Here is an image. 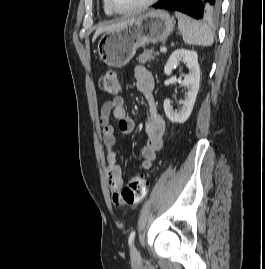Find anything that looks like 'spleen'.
<instances>
[{"label":"spleen","mask_w":265,"mask_h":269,"mask_svg":"<svg viewBox=\"0 0 265 269\" xmlns=\"http://www.w3.org/2000/svg\"><path fill=\"white\" fill-rule=\"evenodd\" d=\"M175 16L178 19V28L185 43L204 47L213 44V33L206 24L196 21L178 11H175Z\"/></svg>","instance_id":"1"}]
</instances>
